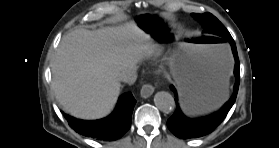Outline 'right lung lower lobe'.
I'll return each mask as SVG.
<instances>
[{
  "instance_id": "obj_1",
  "label": "right lung lower lobe",
  "mask_w": 279,
  "mask_h": 148,
  "mask_svg": "<svg viewBox=\"0 0 279 148\" xmlns=\"http://www.w3.org/2000/svg\"><path fill=\"white\" fill-rule=\"evenodd\" d=\"M135 102L131 93H125L119 98L115 111L107 118L86 121L65 113L64 117L76 132L96 140L112 141L122 137L129 130Z\"/></svg>"
}]
</instances>
